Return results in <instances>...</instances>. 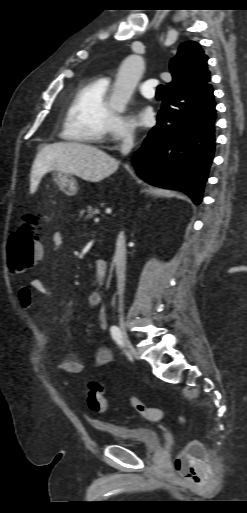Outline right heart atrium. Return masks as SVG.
Wrapping results in <instances>:
<instances>
[{"mask_svg": "<svg viewBox=\"0 0 247 513\" xmlns=\"http://www.w3.org/2000/svg\"><path fill=\"white\" fill-rule=\"evenodd\" d=\"M106 134L114 141H127L134 135V126L127 117L114 114L109 120Z\"/></svg>", "mask_w": 247, "mask_h": 513, "instance_id": "1", "label": "right heart atrium"}]
</instances>
